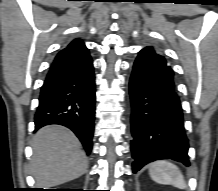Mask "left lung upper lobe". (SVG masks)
Wrapping results in <instances>:
<instances>
[{"label": "left lung upper lobe", "instance_id": "left-lung-upper-lobe-1", "mask_svg": "<svg viewBox=\"0 0 218 191\" xmlns=\"http://www.w3.org/2000/svg\"><path fill=\"white\" fill-rule=\"evenodd\" d=\"M143 51L148 53L150 56L154 57L156 60L160 61L164 65L170 67V65L168 64V62L165 59V57L160 55V54H158V53H156L152 47H146V48L143 49Z\"/></svg>", "mask_w": 218, "mask_h": 191}]
</instances>
